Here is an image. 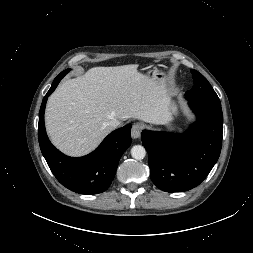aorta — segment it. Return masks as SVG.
I'll return each instance as SVG.
<instances>
[{"mask_svg": "<svg viewBox=\"0 0 253 253\" xmlns=\"http://www.w3.org/2000/svg\"><path fill=\"white\" fill-rule=\"evenodd\" d=\"M131 156L136 160H141L146 156V150L142 145H135L131 148Z\"/></svg>", "mask_w": 253, "mask_h": 253, "instance_id": "aorta-1", "label": "aorta"}]
</instances>
